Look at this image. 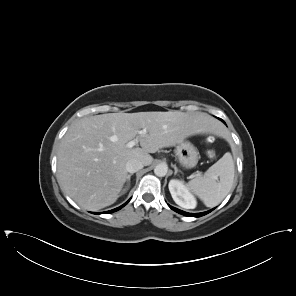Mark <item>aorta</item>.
<instances>
[{"instance_id": "1", "label": "aorta", "mask_w": 296, "mask_h": 296, "mask_svg": "<svg viewBox=\"0 0 296 296\" xmlns=\"http://www.w3.org/2000/svg\"><path fill=\"white\" fill-rule=\"evenodd\" d=\"M168 167L166 164H158L155 169L154 173L158 177H164L167 174Z\"/></svg>"}]
</instances>
